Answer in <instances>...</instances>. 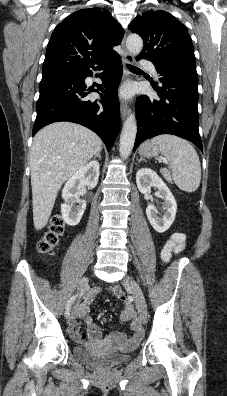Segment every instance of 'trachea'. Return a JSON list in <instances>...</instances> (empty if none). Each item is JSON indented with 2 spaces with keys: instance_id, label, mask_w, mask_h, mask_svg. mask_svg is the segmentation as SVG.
<instances>
[{
  "instance_id": "3493384b",
  "label": "trachea",
  "mask_w": 227,
  "mask_h": 396,
  "mask_svg": "<svg viewBox=\"0 0 227 396\" xmlns=\"http://www.w3.org/2000/svg\"><path fill=\"white\" fill-rule=\"evenodd\" d=\"M127 67H128L130 70H132V71H138V70H140L139 68H137V67H135V66H132V65H130V64H127Z\"/></svg>"
}]
</instances>
